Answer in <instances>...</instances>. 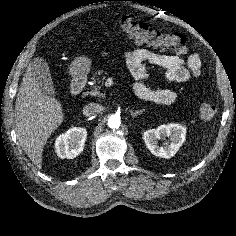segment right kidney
Listing matches in <instances>:
<instances>
[{
    "instance_id": "obj_1",
    "label": "right kidney",
    "mask_w": 236,
    "mask_h": 236,
    "mask_svg": "<svg viewBox=\"0 0 236 236\" xmlns=\"http://www.w3.org/2000/svg\"><path fill=\"white\" fill-rule=\"evenodd\" d=\"M87 131L82 127L70 128L66 133L61 134L55 141L57 156L64 159H73L84 149Z\"/></svg>"
}]
</instances>
